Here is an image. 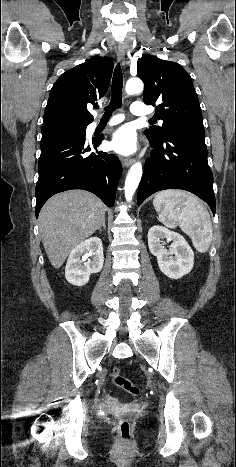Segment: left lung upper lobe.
<instances>
[{"label": "left lung upper lobe", "mask_w": 236, "mask_h": 467, "mask_svg": "<svg viewBox=\"0 0 236 467\" xmlns=\"http://www.w3.org/2000/svg\"><path fill=\"white\" fill-rule=\"evenodd\" d=\"M138 76L145 88L146 104L158 102L155 115L163 125L144 131L153 140L162 141L171 131L185 128H204L202 112L190 75L175 62L145 54L137 63Z\"/></svg>", "instance_id": "left-lung-upper-lobe-1"}]
</instances>
